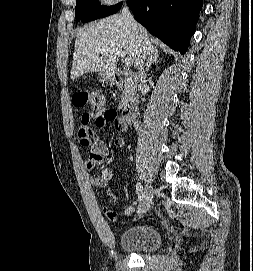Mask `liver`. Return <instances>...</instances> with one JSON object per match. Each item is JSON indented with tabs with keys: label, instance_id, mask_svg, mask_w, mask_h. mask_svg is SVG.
I'll list each match as a JSON object with an SVG mask.
<instances>
[{
	"label": "liver",
	"instance_id": "obj_1",
	"mask_svg": "<svg viewBox=\"0 0 253 271\" xmlns=\"http://www.w3.org/2000/svg\"><path fill=\"white\" fill-rule=\"evenodd\" d=\"M106 48L123 50L135 67H138L141 52L145 55L158 54L145 28L140 26V30L136 31L123 15H111L78 30L71 79L75 80L86 72H114L118 63L117 55L109 52L100 57L99 50Z\"/></svg>",
	"mask_w": 253,
	"mask_h": 271
}]
</instances>
